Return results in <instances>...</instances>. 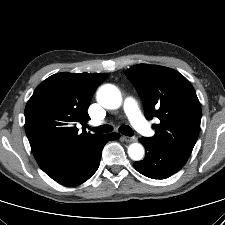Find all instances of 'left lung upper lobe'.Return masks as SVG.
Wrapping results in <instances>:
<instances>
[{
  "instance_id": "obj_1",
  "label": "left lung upper lobe",
  "mask_w": 225,
  "mask_h": 225,
  "mask_svg": "<svg viewBox=\"0 0 225 225\" xmlns=\"http://www.w3.org/2000/svg\"><path fill=\"white\" fill-rule=\"evenodd\" d=\"M143 104L145 117H157L155 135L146 138L189 158L197 141L201 106L191 83L179 72L158 65L138 64L126 71Z\"/></svg>"
}]
</instances>
